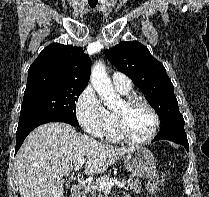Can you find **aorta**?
Segmentation results:
<instances>
[{
	"label": "aorta",
	"mask_w": 209,
	"mask_h": 197,
	"mask_svg": "<svg viewBox=\"0 0 209 197\" xmlns=\"http://www.w3.org/2000/svg\"><path fill=\"white\" fill-rule=\"evenodd\" d=\"M91 83L108 108H114L121 103V99L114 91L105 66L101 61L96 62L92 68Z\"/></svg>",
	"instance_id": "aorta-1"
}]
</instances>
